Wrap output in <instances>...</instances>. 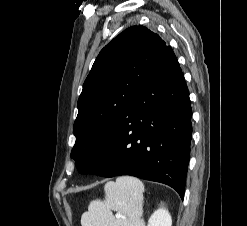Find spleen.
<instances>
[{
	"instance_id": "1",
	"label": "spleen",
	"mask_w": 247,
	"mask_h": 226,
	"mask_svg": "<svg viewBox=\"0 0 247 226\" xmlns=\"http://www.w3.org/2000/svg\"><path fill=\"white\" fill-rule=\"evenodd\" d=\"M105 200L91 201L82 214V226H144V185L136 177L122 176L105 184ZM121 213L115 219L112 211Z\"/></svg>"
}]
</instances>
